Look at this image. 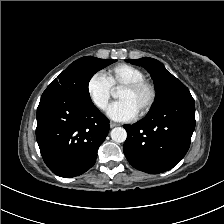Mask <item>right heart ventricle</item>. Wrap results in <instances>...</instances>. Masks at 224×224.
I'll use <instances>...</instances> for the list:
<instances>
[{"instance_id": "e07e8e85", "label": "right heart ventricle", "mask_w": 224, "mask_h": 224, "mask_svg": "<svg viewBox=\"0 0 224 224\" xmlns=\"http://www.w3.org/2000/svg\"><path fill=\"white\" fill-rule=\"evenodd\" d=\"M105 76L112 89L119 88L129 82L145 79V75L140 69L124 63L109 68L105 72Z\"/></svg>"}]
</instances>
